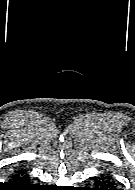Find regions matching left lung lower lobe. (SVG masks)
<instances>
[{"instance_id":"0a47b994","label":"left lung lower lobe","mask_w":135,"mask_h":190,"mask_svg":"<svg viewBox=\"0 0 135 190\" xmlns=\"http://www.w3.org/2000/svg\"><path fill=\"white\" fill-rule=\"evenodd\" d=\"M95 180L99 188H94L93 190H119L115 188L109 176H101L99 178H95Z\"/></svg>"}]
</instances>
